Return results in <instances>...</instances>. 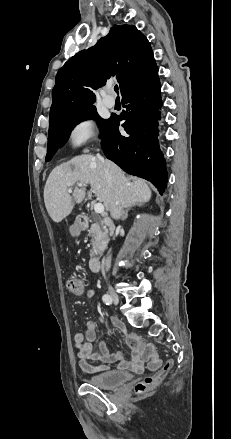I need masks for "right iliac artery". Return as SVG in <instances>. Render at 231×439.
Masks as SVG:
<instances>
[{
    "mask_svg": "<svg viewBox=\"0 0 231 439\" xmlns=\"http://www.w3.org/2000/svg\"><path fill=\"white\" fill-rule=\"evenodd\" d=\"M102 300L106 305H110L112 303V299L108 294H104Z\"/></svg>",
    "mask_w": 231,
    "mask_h": 439,
    "instance_id": "right-iliac-artery-1",
    "label": "right iliac artery"
}]
</instances>
